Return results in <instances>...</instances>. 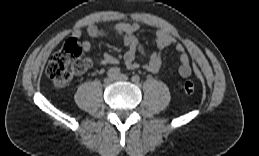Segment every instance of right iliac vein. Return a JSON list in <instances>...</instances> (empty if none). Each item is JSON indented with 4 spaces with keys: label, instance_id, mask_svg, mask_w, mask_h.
Listing matches in <instances>:
<instances>
[{
    "label": "right iliac vein",
    "instance_id": "63e3f726",
    "mask_svg": "<svg viewBox=\"0 0 259 156\" xmlns=\"http://www.w3.org/2000/svg\"><path fill=\"white\" fill-rule=\"evenodd\" d=\"M114 80V78L108 77L105 79L106 83H111Z\"/></svg>",
    "mask_w": 259,
    "mask_h": 156
}]
</instances>
